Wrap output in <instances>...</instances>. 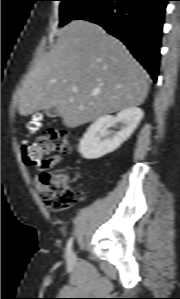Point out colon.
<instances>
[{
	"instance_id": "colon-1",
	"label": "colon",
	"mask_w": 180,
	"mask_h": 299,
	"mask_svg": "<svg viewBox=\"0 0 180 299\" xmlns=\"http://www.w3.org/2000/svg\"><path fill=\"white\" fill-rule=\"evenodd\" d=\"M41 127V118L34 115L28 124V130L35 132ZM71 142L67 133L59 129H48L36 141H25L22 144L23 160L28 166L40 165L45 155L50 152L68 154ZM43 186L44 204L53 211L71 207L76 201V193L70 186L64 172L43 173L40 178Z\"/></svg>"
}]
</instances>
